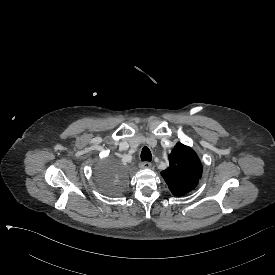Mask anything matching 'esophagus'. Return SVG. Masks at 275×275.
Segmentation results:
<instances>
[{"mask_svg": "<svg viewBox=\"0 0 275 275\" xmlns=\"http://www.w3.org/2000/svg\"><path fill=\"white\" fill-rule=\"evenodd\" d=\"M139 167L141 169H150L152 167V164L150 162H148V161H145V162H141L139 164Z\"/></svg>", "mask_w": 275, "mask_h": 275, "instance_id": "obj_1", "label": "esophagus"}]
</instances>
